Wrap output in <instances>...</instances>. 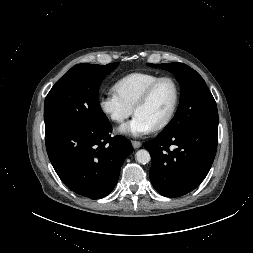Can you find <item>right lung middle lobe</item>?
Returning <instances> with one entry per match:
<instances>
[{
	"label": "right lung middle lobe",
	"instance_id": "obj_1",
	"mask_svg": "<svg viewBox=\"0 0 253 253\" xmlns=\"http://www.w3.org/2000/svg\"><path fill=\"white\" fill-rule=\"evenodd\" d=\"M118 64H78L62 76L45 99V132L66 125H93L107 120L100 107L98 90L102 80Z\"/></svg>",
	"mask_w": 253,
	"mask_h": 253
}]
</instances>
